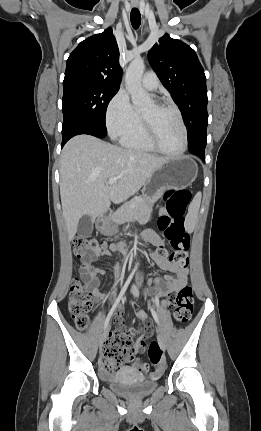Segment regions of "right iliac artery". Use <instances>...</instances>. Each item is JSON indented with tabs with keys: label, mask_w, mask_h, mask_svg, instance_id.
Masks as SVG:
<instances>
[{
	"label": "right iliac artery",
	"mask_w": 261,
	"mask_h": 431,
	"mask_svg": "<svg viewBox=\"0 0 261 431\" xmlns=\"http://www.w3.org/2000/svg\"><path fill=\"white\" fill-rule=\"evenodd\" d=\"M134 273H135V270H133V271L131 272V274L129 275L128 279L126 280V282H125L124 286L122 287V289H121V291H120V293H119L118 298L116 299V301L114 302V304H113V306H112L111 310L109 311V313H108V315H107V317H106V319H105V323H104V331H105L106 327H107V326H108V324H109V321H110V319H111V316H112V314H113L114 310L116 309V307H117V305L119 304L120 300L124 297L125 292H126V290H127V287H128V285L130 284V282H131V280H132V278H133Z\"/></svg>",
	"instance_id": "82829eb1"
}]
</instances>
